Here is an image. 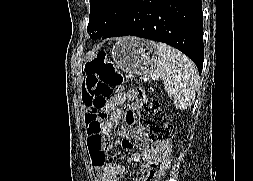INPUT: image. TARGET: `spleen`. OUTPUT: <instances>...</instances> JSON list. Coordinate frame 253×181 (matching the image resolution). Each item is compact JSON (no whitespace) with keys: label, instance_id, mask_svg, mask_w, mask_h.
Listing matches in <instances>:
<instances>
[{"label":"spleen","instance_id":"3e777b00","mask_svg":"<svg viewBox=\"0 0 253 181\" xmlns=\"http://www.w3.org/2000/svg\"><path fill=\"white\" fill-rule=\"evenodd\" d=\"M155 75L163 80L164 88L177 108L190 106L198 90V70L194 63L178 50L157 43Z\"/></svg>","mask_w":253,"mask_h":181}]
</instances>
